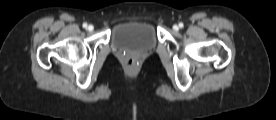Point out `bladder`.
Segmentation results:
<instances>
[{
  "mask_svg": "<svg viewBox=\"0 0 276 120\" xmlns=\"http://www.w3.org/2000/svg\"><path fill=\"white\" fill-rule=\"evenodd\" d=\"M112 44L119 49L148 51L156 45L154 27L148 22H124L115 27Z\"/></svg>",
  "mask_w": 276,
  "mask_h": 120,
  "instance_id": "1",
  "label": "bladder"
}]
</instances>
